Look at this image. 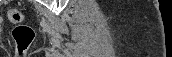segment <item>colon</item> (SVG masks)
<instances>
[{
	"label": "colon",
	"instance_id": "1",
	"mask_svg": "<svg viewBox=\"0 0 172 57\" xmlns=\"http://www.w3.org/2000/svg\"><path fill=\"white\" fill-rule=\"evenodd\" d=\"M7 17L11 22L19 23L23 16L18 10L10 9ZM12 36L16 45L15 57H26L27 50L35 37L34 29L29 25L17 24L12 31Z\"/></svg>",
	"mask_w": 172,
	"mask_h": 57
}]
</instances>
